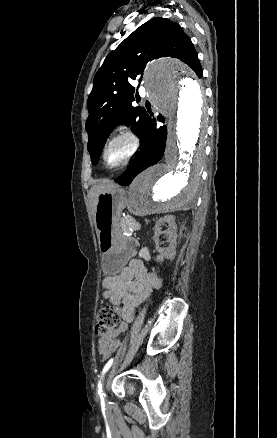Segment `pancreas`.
Here are the masks:
<instances>
[{
  "instance_id": "1",
  "label": "pancreas",
  "mask_w": 277,
  "mask_h": 438,
  "mask_svg": "<svg viewBox=\"0 0 277 438\" xmlns=\"http://www.w3.org/2000/svg\"><path fill=\"white\" fill-rule=\"evenodd\" d=\"M138 217L135 214L130 215L129 218L125 219V224L122 226V231L124 233H143L146 230L145 225L137 224Z\"/></svg>"
}]
</instances>
